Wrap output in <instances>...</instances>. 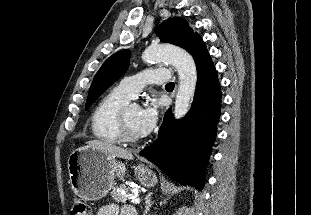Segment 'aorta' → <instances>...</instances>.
<instances>
[{
  "mask_svg": "<svg viewBox=\"0 0 311 215\" xmlns=\"http://www.w3.org/2000/svg\"><path fill=\"white\" fill-rule=\"evenodd\" d=\"M144 61L171 63L178 72L179 86L175 99L174 116L184 117L194 98L197 70L193 57L184 49L173 45H151L143 53Z\"/></svg>",
  "mask_w": 311,
  "mask_h": 215,
  "instance_id": "aorta-1",
  "label": "aorta"
}]
</instances>
